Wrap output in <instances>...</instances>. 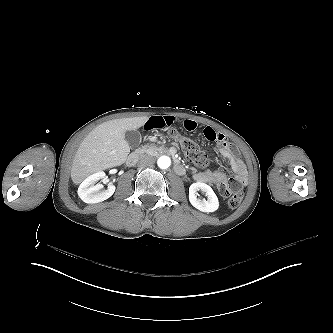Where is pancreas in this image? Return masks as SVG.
I'll return each instance as SVG.
<instances>
[{"mask_svg":"<svg viewBox=\"0 0 333 333\" xmlns=\"http://www.w3.org/2000/svg\"><path fill=\"white\" fill-rule=\"evenodd\" d=\"M142 151L143 153L149 156L158 157L161 154H167L169 152V149L165 146H157L156 144H147L143 146Z\"/></svg>","mask_w":333,"mask_h":333,"instance_id":"1","label":"pancreas"}]
</instances>
